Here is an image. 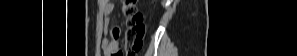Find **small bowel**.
<instances>
[{"label": "small bowel", "mask_w": 297, "mask_h": 56, "mask_svg": "<svg viewBox=\"0 0 297 56\" xmlns=\"http://www.w3.org/2000/svg\"><path fill=\"white\" fill-rule=\"evenodd\" d=\"M114 11V5L112 3H108L106 5V12L110 14ZM110 19L106 17L104 21V30L110 31L111 39L103 38L101 42V47L105 56H114L116 52H119V44H120V36L121 29L119 27H114L113 29H109Z\"/></svg>", "instance_id": "small-bowel-1"}]
</instances>
